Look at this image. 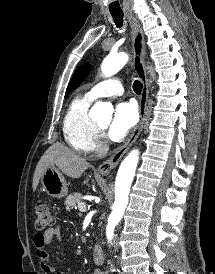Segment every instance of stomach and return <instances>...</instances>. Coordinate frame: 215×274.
I'll list each match as a JSON object with an SVG mask.
<instances>
[{
    "label": "stomach",
    "mask_w": 215,
    "mask_h": 274,
    "mask_svg": "<svg viewBox=\"0 0 215 274\" xmlns=\"http://www.w3.org/2000/svg\"><path fill=\"white\" fill-rule=\"evenodd\" d=\"M41 183L43 189L52 197L63 198L68 194L67 183L54 165L49 166L43 172Z\"/></svg>",
    "instance_id": "0dacf381"
}]
</instances>
